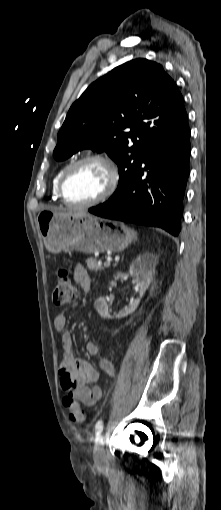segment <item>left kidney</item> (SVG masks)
Returning <instances> with one entry per match:
<instances>
[{
  "label": "left kidney",
  "mask_w": 221,
  "mask_h": 510,
  "mask_svg": "<svg viewBox=\"0 0 221 510\" xmlns=\"http://www.w3.org/2000/svg\"><path fill=\"white\" fill-rule=\"evenodd\" d=\"M158 263V258L149 253H143L139 255L130 265L129 273L131 276L135 277L137 281V285L139 286V297L130 302L128 306H126L122 311L115 315V318H123L130 314H132L138 307L141 298L143 297L145 291L148 289L153 274L155 272V267ZM94 307L98 314L102 318H112L108 311V304L104 297L98 298Z\"/></svg>",
  "instance_id": "obj_1"
}]
</instances>
